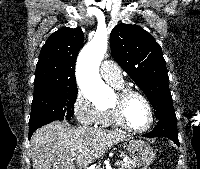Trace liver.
Listing matches in <instances>:
<instances>
[{
    "label": "liver",
    "instance_id": "obj_1",
    "mask_svg": "<svg viewBox=\"0 0 200 169\" xmlns=\"http://www.w3.org/2000/svg\"><path fill=\"white\" fill-rule=\"evenodd\" d=\"M126 134L89 127H70L65 121L36 130L30 140L33 169H82L102 157L114 144L129 140ZM75 160V164L73 163Z\"/></svg>",
    "mask_w": 200,
    "mask_h": 169
}]
</instances>
